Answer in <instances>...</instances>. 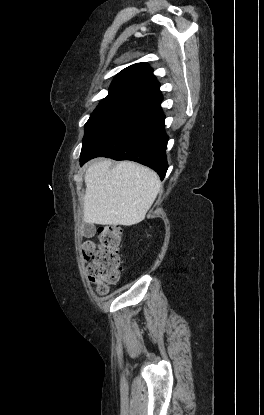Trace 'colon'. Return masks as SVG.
Returning a JSON list of instances; mask_svg holds the SVG:
<instances>
[{
  "instance_id": "5ec220e1",
  "label": "colon",
  "mask_w": 264,
  "mask_h": 415,
  "mask_svg": "<svg viewBox=\"0 0 264 415\" xmlns=\"http://www.w3.org/2000/svg\"><path fill=\"white\" fill-rule=\"evenodd\" d=\"M121 243L122 230L119 227L103 226L96 230L94 241L83 244L82 256L87 277L99 295H106L109 286L119 279L123 267Z\"/></svg>"
}]
</instances>
